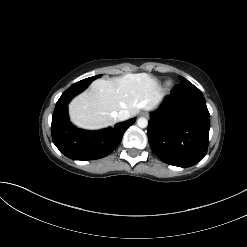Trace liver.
Masks as SVG:
<instances>
[{
    "mask_svg": "<svg viewBox=\"0 0 247 247\" xmlns=\"http://www.w3.org/2000/svg\"><path fill=\"white\" fill-rule=\"evenodd\" d=\"M162 96L157 81L146 73L98 79L71 101L69 115L76 126L98 130L114 125L120 110H128L135 116L141 109H155Z\"/></svg>",
    "mask_w": 247,
    "mask_h": 247,
    "instance_id": "liver-1",
    "label": "liver"
}]
</instances>
